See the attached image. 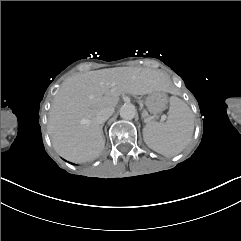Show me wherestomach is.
Here are the masks:
<instances>
[{
  "label": "stomach",
  "mask_w": 241,
  "mask_h": 241,
  "mask_svg": "<svg viewBox=\"0 0 241 241\" xmlns=\"http://www.w3.org/2000/svg\"><path fill=\"white\" fill-rule=\"evenodd\" d=\"M145 104L151 114H159L166 109L167 98L165 93L153 92L146 98Z\"/></svg>",
  "instance_id": "0dacf381"
}]
</instances>
